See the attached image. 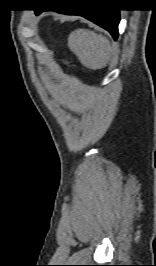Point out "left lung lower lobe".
I'll list each match as a JSON object with an SVG mask.
<instances>
[{
    "label": "left lung lower lobe",
    "mask_w": 156,
    "mask_h": 266,
    "mask_svg": "<svg viewBox=\"0 0 156 266\" xmlns=\"http://www.w3.org/2000/svg\"><path fill=\"white\" fill-rule=\"evenodd\" d=\"M43 10H36L40 13ZM66 12L69 14H77L84 16L88 20L108 30L113 38L116 40L118 37V24L120 21L119 10L111 8H87V9H63L55 10Z\"/></svg>",
    "instance_id": "left-lung-lower-lobe-1"
}]
</instances>
